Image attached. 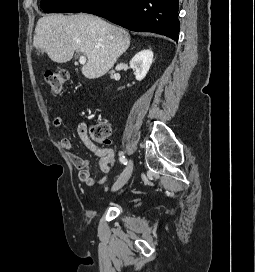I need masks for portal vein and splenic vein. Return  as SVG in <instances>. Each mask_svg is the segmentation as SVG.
I'll return each mask as SVG.
<instances>
[{"mask_svg": "<svg viewBox=\"0 0 255 272\" xmlns=\"http://www.w3.org/2000/svg\"><path fill=\"white\" fill-rule=\"evenodd\" d=\"M80 64L84 65L86 63V57L84 55H81L79 58Z\"/></svg>", "mask_w": 255, "mask_h": 272, "instance_id": "1", "label": "portal vein and splenic vein"}]
</instances>
